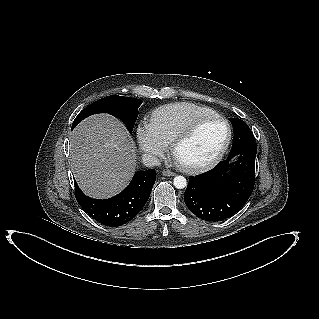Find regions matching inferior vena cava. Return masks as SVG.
Returning <instances> with one entry per match:
<instances>
[{"mask_svg": "<svg viewBox=\"0 0 319 319\" xmlns=\"http://www.w3.org/2000/svg\"><path fill=\"white\" fill-rule=\"evenodd\" d=\"M142 162L146 167L159 166L161 164L156 156L147 153L142 155Z\"/></svg>", "mask_w": 319, "mask_h": 319, "instance_id": "obj_1", "label": "inferior vena cava"}]
</instances>
